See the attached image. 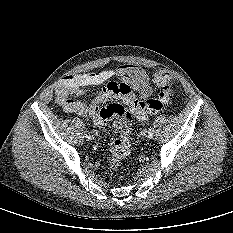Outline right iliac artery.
<instances>
[{
	"instance_id": "1",
	"label": "right iliac artery",
	"mask_w": 233,
	"mask_h": 233,
	"mask_svg": "<svg viewBox=\"0 0 233 233\" xmlns=\"http://www.w3.org/2000/svg\"><path fill=\"white\" fill-rule=\"evenodd\" d=\"M86 139H87V140H90V139H91L90 134H86Z\"/></svg>"
}]
</instances>
